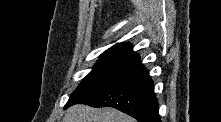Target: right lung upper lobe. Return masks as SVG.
Wrapping results in <instances>:
<instances>
[{"mask_svg": "<svg viewBox=\"0 0 221 122\" xmlns=\"http://www.w3.org/2000/svg\"><path fill=\"white\" fill-rule=\"evenodd\" d=\"M102 59H125V60H140V56L132 50V45L128 43H118L103 54H101Z\"/></svg>", "mask_w": 221, "mask_h": 122, "instance_id": "right-lung-upper-lobe-1", "label": "right lung upper lobe"}]
</instances>
